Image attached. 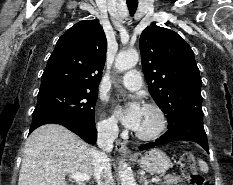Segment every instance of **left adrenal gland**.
Segmentation results:
<instances>
[{
	"label": "left adrenal gland",
	"mask_w": 233,
	"mask_h": 185,
	"mask_svg": "<svg viewBox=\"0 0 233 185\" xmlns=\"http://www.w3.org/2000/svg\"><path fill=\"white\" fill-rule=\"evenodd\" d=\"M140 182H142L143 185H148L150 181L145 176L141 175Z\"/></svg>",
	"instance_id": "a2214340"
}]
</instances>
